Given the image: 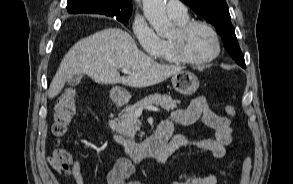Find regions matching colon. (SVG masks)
I'll return each instance as SVG.
<instances>
[{
	"mask_svg": "<svg viewBox=\"0 0 293 184\" xmlns=\"http://www.w3.org/2000/svg\"><path fill=\"white\" fill-rule=\"evenodd\" d=\"M76 112V105L74 100V93L71 90H65L55 105L54 123L52 131L56 136H63L69 129L71 121ZM225 112L234 117L236 109L232 105L225 106ZM69 154L61 148L56 149L50 157V162L65 164L70 160ZM252 169V162L250 158H245L242 164V172L239 184H249Z\"/></svg>",
	"mask_w": 293,
	"mask_h": 184,
	"instance_id": "obj_1",
	"label": "colon"
}]
</instances>
